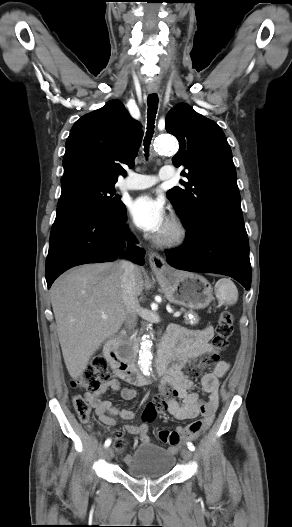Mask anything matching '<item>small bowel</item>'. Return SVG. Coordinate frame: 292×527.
I'll return each mask as SVG.
<instances>
[{
	"label": "small bowel",
	"mask_w": 292,
	"mask_h": 527,
	"mask_svg": "<svg viewBox=\"0 0 292 527\" xmlns=\"http://www.w3.org/2000/svg\"><path fill=\"white\" fill-rule=\"evenodd\" d=\"M213 336L212 327L203 329H187L177 325L168 328L165 342L170 348L171 356L169 367L161 382V393L169 392L165 407L177 420L193 419L201 415L202 419L189 424L186 428L178 427L176 431H160L159 439L170 445V450L176 452L186 439H193L207 429L214 418L219 404V380L229 369L226 361L218 362L211 372L201 378V388L208 394V399L202 401L199 394L194 391L193 382L184 374L186 364L196 361L200 356L211 352L213 347L210 339ZM122 376L115 372V376L101 385L95 392H87L85 399L95 409L99 420L112 427L117 418L131 420L134 413L130 410L120 409L109 400H102L101 395L109 389L120 391L125 400L136 396V391L131 388H121L119 380ZM175 397L181 400L179 403ZM124 431L131 435L139 436L141 442L149 443L150 436L146 424H126Z\"/></svg>",
	"instance_id": "c3829d8e"
}]
</instances>
